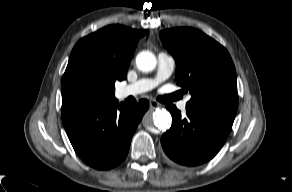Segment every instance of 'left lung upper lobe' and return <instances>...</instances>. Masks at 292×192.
Segmentation results:
<instances>
[{
	"instance_id": "5c2ea615",
	"label": "left lung upper lobe",
	"mask_w": 292,
	"mask_h": 192,
	"mask_svg": "<svg viewBox=\"0 0 292 192\" xmlns=\"http://www.w3.org/2000/svg\"><path fill=\"white\" fill-rule=\"evenodd\" d=\"M163 46L176 61V83L191 94L187 110L234 117L237 80L228 51L203 32L189 27L160 32Z\"/></svg>"
}]
</instances>
